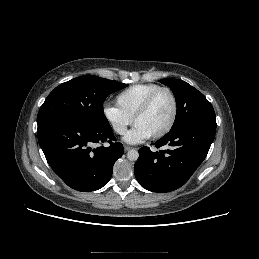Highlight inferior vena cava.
<instances>
[{
    "instance_id": "602c4592",
    "label": "inferior vena cava",
    "mask_w": 259,
    "mask_h": 259,
    "mask_svg": "<svg viewBox=\"0 0 259 259\" xmlns=\"http://www.w3.org/2000/svg\"><path fill=\"white\" fill-rule=\"evenodd\" d=\"M117 132H118L119 134H124V133H125V129H124V128H119V129L117 130Z\"/></svg>"
}]
</instances>
